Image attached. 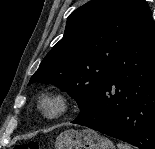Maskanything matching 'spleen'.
I'll return each instance as SVG.
<instances>
[{"label":"spleen","instance_id":"spleen-1","mask_svg":"<svg viewBox=\"0 0 155 149\" xmlns=\"http://www.w3.org/2000/svg\"><path fill=\"white\" fill-rule=\"evenodd\" d=\"M118 149H132L130 145L123 144V143H118L117 144Z\"/></svg>","mask_w":155,"mask_h":149}]
</instances>
